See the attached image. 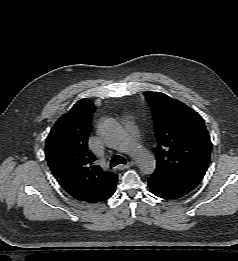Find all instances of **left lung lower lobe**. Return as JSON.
I'll list each match as a JSON object with an SVG mask.
<instances>
[{
  "instance_id": "left-lung-lower-lobe-1",
  "label": "left lung lower lobe",
  "mask_w": 238,
  "mask_h": 261,
  "mask_svg": "<svg viewBox=\"0 0 238 261\" xmlns=\"http://www.w3.org/2000/svg\"><path fill=\"white\" fill-rule=\"evenodd\" d=\"M148 186L154 195L164 199H178L186 195L184 192L153 175L148 177Z\"/></svg>"
}]
</instances>
